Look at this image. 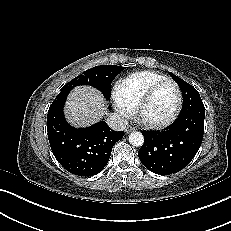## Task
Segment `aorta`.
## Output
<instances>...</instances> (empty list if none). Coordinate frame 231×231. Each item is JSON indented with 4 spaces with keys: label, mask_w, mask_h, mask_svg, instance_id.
Listing matches in <instances>:
<instances>
[{
    "label": "aorta",
    "mask_w": 231,
    "mask_h": 231,
    "mask_svg": "<svg viewBox=\"0 0 231 231\" xmlns=\"http://www.w3.org/2000/svg\"><path fill=\"white\" fill-rule=\"evenodd\" d=\"M129 143L135 147H141L144 143V137L140 132H131L129 135Z\"/></svg>",
    "instance_id": "1"
}]
</instances>
